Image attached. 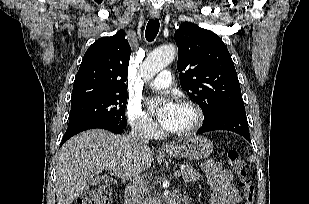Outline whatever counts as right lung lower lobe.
<instances>
[{"label":"right lung lower lobe","mask_w":309,"mask_h":204,"mask_svg":"<svg viewBox=\"0 0 309 204\" xmlns=\"http://www.w3.org/2000/svg\"><path fill=\"white\" fill-rule=\"evenodd\" d=\"M94 128H101V129H106L109 131H112L117 134H121L124 131V128L117 127L108 123L100 122V121H84L80 122L74 125H71L67 128L61 145L68 140L70 137L74 136L75 134L88 130V129H94Z\"/></svg>","instance_id":"1"}]
</instances>
